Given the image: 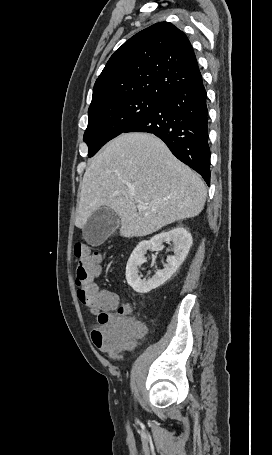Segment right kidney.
Returning <instances> with one entry per match:
<instances>
[{
	"instance_id": "ca27d5eb",
	"label": "right kidney",
	"mask_w": 272,
	"mask_h": 455,
	"mask_svg": "<svg viewBox=\"0 0 272 455\" xmlns=\"http://www.w3.org/2000/svg\"><path fill=\"white\" fill-rule=\"evenodd\" d=\"M173 242L174 255L168 256L162 270H157L152 278L141 279L138 267L145 261L147 250L161 251L164 242ZM192 245L191 234L183 227L174 228L153 236L150 240L141 241L133 250L126 265L127 283L138 293H148L164 284L180 267Z\"/></svg>"
}]
</instances>
